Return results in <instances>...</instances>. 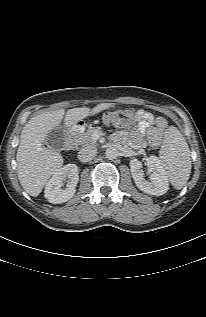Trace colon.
<instances>
[{
	"label": "colon",
	"instance_id": "colon-1",
	"mask_svg": "<svg viewBox=\"0 0 206 317\" xmlns=\"http://www.w3.org/2000/svg\"><path fill=\"white\" fill-rule=\"evenodd\" d=\"M135 117V113L130 109L113 110L104 114V122L115 128L129 126Z\"/></svg>",
	"mask_w": 206,
	"mask_h": 317
}]
</instances>
